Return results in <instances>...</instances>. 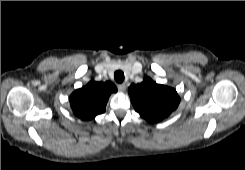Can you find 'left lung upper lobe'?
I'll use <instances>...</instances> for the list:
<instances>
[{"label":"left lung upper lobe","instance_id":"left-lung-upper-lobe-1","mask_svg":"<svg viewBox=\"0 0 245 170\" xmlns=\"http://www.w3.org/2000/svg\"><path fill=\"white\" fill-rule=\"evenodd\" d=\"M128 92L134 109L151 123L168 117L180 102L175 89L157 84L148 77L140 84H131Z\"/></svg>","mask_w":245,"mask_h":170}]
</instances>
